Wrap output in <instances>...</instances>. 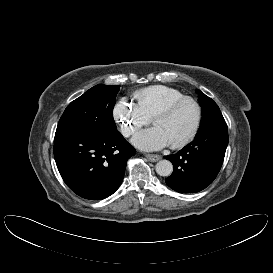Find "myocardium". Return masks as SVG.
Masks as SVG:
<instances>
[{
    "mask_svg": "<svg viewBox=\"0 0 273 273\" xmlns=\"http://www.w3.org/2000/svg\"><path fill=\"white\" fill-rule=\"evenodd\" d=\"M184 102H191L195 106L196 113H197L196 121H195V125L193 127V130L183 141H181L177 144H172V145L170 144V147L173 149L184 148L185 146L189 145L197 136L198 131L200 129L201 121H202V110H201L200 104L194 98H192L190 96H184L180 99H177V100L172 101L169 104H167L152 119V123L155 124V122L158 119L168 117L178 105H180Z\"/></svg>",
    "mask_w": 273,
    "mask_h": 273,
    "instance_id": "1",
    "label": "myocardium"
}]
</instances>
